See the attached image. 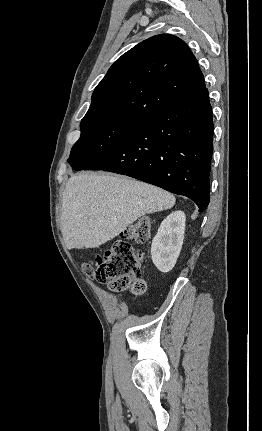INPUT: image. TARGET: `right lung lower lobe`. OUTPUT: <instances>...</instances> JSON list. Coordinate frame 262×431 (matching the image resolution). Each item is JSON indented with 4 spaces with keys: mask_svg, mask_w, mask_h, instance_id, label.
<instances>
[{
    "mask_svg": "<svg viewBox=\"0 0 262 431\" xmlns=\"http://www.w3.org/2000/svg\"><path fill=\"white\" fill-rule=\"evenodd\" d=\"M212 108L207 88L141 120L84 170L127 175L191 198L204 211L210 200Z\"/></svg>",
    "mask_w": 262,
    "mask_h": 431,
    "instance_id": "right-lung-lower-lobe-1",
    "label": "right lung lower lobe"
}]
</instances>
